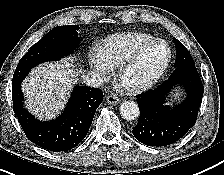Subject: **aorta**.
<instances>
[{
  "instance_id": "aorta-1",
  "label": "aorta",
  "mask_w": 224,
  "mask_h": 175,
  "mask_svg": "<svg viewBox=\"0 0 224 175\" xmlns=\"http://www.w3.org/2000/svg\"><path fill=\"white\" fill-rule=\"evenodd\" d=\"M120 114L126 120H134L139 116L140 110L135 102L124 101L120 105Z\"/></svg>"
}]
</instances>
